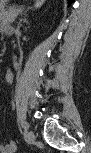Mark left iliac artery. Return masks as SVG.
Masks as SVG:
<instances>
[{
	"label": "left iliac artery",
	"instance_id": "left-iliac-artery-1",
	"mask_svg": "<svg viewBox=\"0 0 91 153\" xmlns=\"http://www.w3.org/2000/svg\"><path fill=\"white\" fill-rule=\"evenodd\" d=\"M20 125L22 126V130L23 132H21V135H23V140H24V143H29V136H28V130L27 129V126H24V122H20Z\"/></svg>",
	"mask_w": 91,
	"mask_h": 153
}]
</instances>
